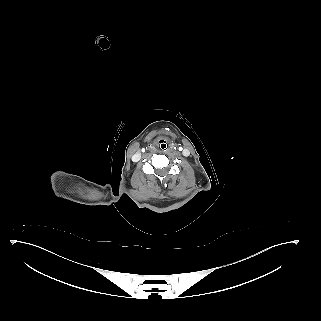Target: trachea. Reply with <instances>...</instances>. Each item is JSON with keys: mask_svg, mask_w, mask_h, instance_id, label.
Wrapping results in <instances>:
<instances>
[{"mask_svg": "<svg viewBox=\"0 0 321 321\" xmlns=\"http://www.w3.org/2000/svg\"><path fill=\"white\" fill-rule=\"evenodd\" d=\"M160 150L161 151H166L167 150V144L166 143H161L160 144Z\"/></svg>", "mask_w": 321, "mask_h": 321, "instance_id": "trachea-1", "label": "trachea"}]
</instances>
